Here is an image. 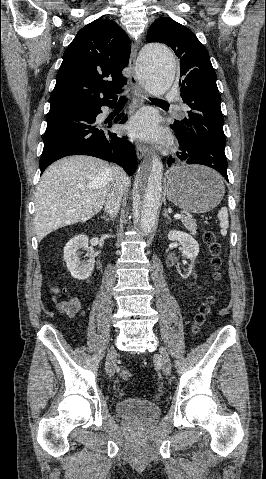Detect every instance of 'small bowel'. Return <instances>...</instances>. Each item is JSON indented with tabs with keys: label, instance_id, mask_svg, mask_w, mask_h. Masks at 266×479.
<instances>
[{
	"label": "small bowel",
	"instance_id": "c3829d8e",
	"mask_svg": "<svg viewBox=\"0 0 266 479\" xmlns=\"http://www.w3.org/2000/svg\"><path fill=\"white\" fill-rule=\"evenodd\" d=\"M55 293H58L57 289H55ZM57 307L61 313L69 317L76 316L82 310L81 301L76 297L60 301Z\"/></svg>",
	"mask_w": 266,
	"mask_h": 479
}]
</instances>
